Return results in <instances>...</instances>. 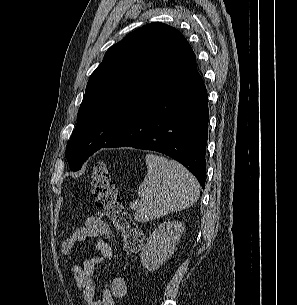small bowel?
<instances>
[{
  "mask_svg": "<svg viewBox=\"0 0 297 305\" xmlns=\"http://www.w3.org/2000/svg\"><path fill=\"white\" fill-rule=\"evenodd\" d=\"M112 234L103 213H97L87 218L84 226L76 229L61 246V254L69 256L77 243H95L100 256L87 259L82 264L72 263V271L81 296L86 305H115L117 300L126 296L127 283L121 277H113L106 287H100L96 280V270L101 265L110 262L113 250L110 244Z\"/></svg>",
  "mask_w": 297,
  "mask_h": 305,
  "instance_id": "1",
  "label": "small bowel"
}]
</instances>
